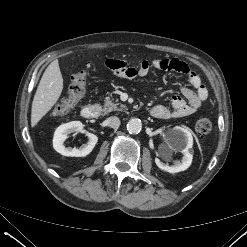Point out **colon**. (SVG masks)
<instances>
[{
	"label": "colon",
	"instance_id": "obj_1",
	"mask_svg": "<svg viewBox=\"0 0 247 247\" xmlns=\"http://www.w3.org/2000/svg\"><path fill=\"white\" fill-rule=\"evenodd\" d=\"M87 71L82 70L73 75L68 90V96L57 104L52 114L55 116L65 115L69 113L75 105L83 98L85 94ZM212 129V122L208 117H200L195 122V130L200 135L208 134Z\"/></svg>",
	"mask_w": 247,
	"mask_h": 247
}]
</instances>
